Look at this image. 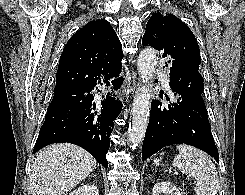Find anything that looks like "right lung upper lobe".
Wrapping results in <instances>:
<instances>
[{
	"instance_id": "cb5924a9",
	"label": "right lung upper lobe",
	"mask_w": 245,
	"mask_h": 195,
	"mask_svg": "<svg viewBox=\"0 0 245 195\" xmlns=\"http://www.w3.org/2000/svg\"><path fill=\"white\" fill-rule=\"evenodd\" d=\"M122 45L110 23H87L67 42L59 61L55 91L91 82L98 72L110 78L122 69Z\"/></svg>"
}]
</instances>
